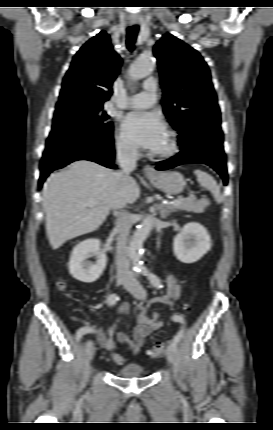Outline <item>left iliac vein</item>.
I'll use <instances>...</instances> for the list:
<instances>
[{
  "mask_svg": "<svg viewBox=\"0 0 273 430\" xmlns=\"http://www.w3.org/2000/svg\"><path fill=\"white\" fill-rule=\"evenodd\" d=\"M125 289L129 291L135 298L143 300L146 297V290L135 278H130L127 284L124 285ZM166 358L170 363L174 362V350L171 345L167 346Z\"/></svg>",
  "mask_w": 273,
  "mask_h": 430,
  "instance_id": "4c4485c4",
  "label": "left iliac vein"
}]
</instances>
